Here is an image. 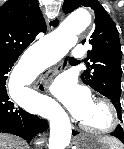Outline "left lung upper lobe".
Masks as SVG:
<instances>
[{"mask_svg":"<svg viewBox=\"0 0 124 149\" xmlns=\"http://www.w3.org/2000/svg\"><path fill=\"white\" fill-rule=\"evenodd\" d=\"M91 7L95 12V28L83 40L92 45L88 52V70L81 75L83 82L107 97L121 117V47L115 23L97 0H65L63 11L70 13L79 7Z\"/></svg>","mask_w":124,"mask_h":149,"instance_id":"5c2ea615","label":"left lung upper lobe"}]
</instances>
